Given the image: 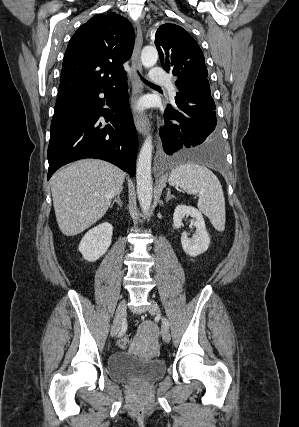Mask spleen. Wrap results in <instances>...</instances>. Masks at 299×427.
I'll list each match as a JSON object with an SVG mask.
<instances>
[{
  "label": "spleen",
  "mask_w": 299,
  "mask_h": 427,
  "mask_svg": "<svg viewBox=\"0 0 299 427\" xmlns=\"http://www.w3.org/2000/svg\"><path fill=\"white\" fill-rule=\"evenodd\" d=\"M172 186L188 194H198V208L217 231H224L226 212L222 186L216 175L205 166L187 163L177 166L169 176Z\"/></svg>",
  "instance_id": "3e777b00"
}]
</instances>
